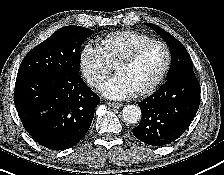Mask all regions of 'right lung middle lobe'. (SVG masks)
<instances>
[{"mask_svg":"<svg viewBox=\"0 0 224 175\" xmlns=\"http://www.w3.org/2000/svg\"><path fill=\"white\" fill-rule=\"evenodd\" d=\"M92 33V30L80 26L58 29L25 56L18 74L35 72L64 77L79 75L80 48Z\"/></svg>","mask_w":224,"mask_h":175,"instance_id":"right-lung-middle-lobe-1","label":"right lung middle lobe"}]
</instances>
